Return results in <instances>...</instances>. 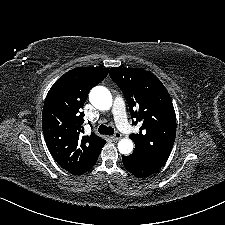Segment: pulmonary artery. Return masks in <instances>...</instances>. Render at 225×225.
<instances>
[{
    "mask_svg": "<svg viewBox=\"0 0 225 225\" xmlns=\"http://www.w3.org/2000/svg\"><path fill=\"white\" fill-rule=\"evenodd\" d=\"M109 113L115 118L120 130L130 132V126L126 119L125 102L118 97L109 105Z\"/></svg>",
    "mask_w": 225,
    "mask_h": 225,
    "instance_id": "obj_1",
    "label": "pulmonary artery"
}]
</instances>
